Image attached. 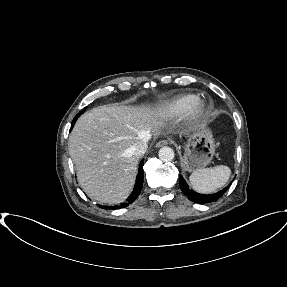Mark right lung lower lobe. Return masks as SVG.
Listing matches in <instances>:
<instances>
[{
    "label": "right lung lower lobe",
    "mask_w": 287,
    "mask_h": 287,
    "mask_svg": "<svg viewBox=\"0 0 287 287\" xmlns=\"http://www.w3.org/2000/svg\"><path fill=\"white\" fill-rule=\"evenodd\" d=\"M73 125H72V127H73ZM143 164H144V160H142L140 165H139L138 174L136 177V183H135L134 189H133L131 195L127 198L126 202H124L120 205L111 206V207L101 206V208H104V209H120V208H124V207L128 206L129 204L133 203L137 199V197L139 196V194L141 192L142 186H143V177H144V172L142 169Z\"/></svg>",
    "instance_id": "obj_1"
}]
</instances>
